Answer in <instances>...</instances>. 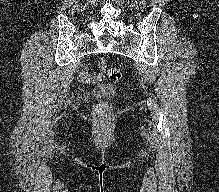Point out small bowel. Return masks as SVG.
Returning <instances> with one entry per match:
<instances>
[{
  "instance_id": "c3829d8e",
  "label": "small bowel",
  "mask_w": 219,
  "mask_h": 192,
  "mask_svg": "<svg viewBox=\"0 0 219 192\" xmlns=\"http://www.w3.org/2000/svg\"><path fill=\"white\" fill-rule=\"evenodd\" d=\"M98 67L100 69L99 72H94V71H89V70L82 71L80 74V79L87 81V82L100 81L103 78L102 71L104 70V64L101 60L98 62Z\"/></svg>"
}]
</instances>
